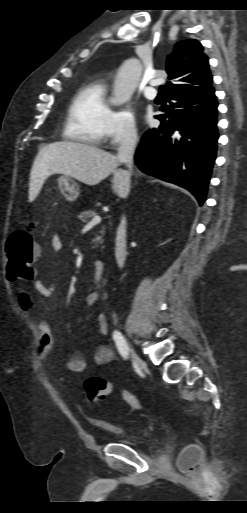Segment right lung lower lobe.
Returning a JSON list of instances; mask_svg holds the SVG:
<instances>
[{"label": "right lung lower lobe", "instance_id": "98d812e1", "mask_svg": "<svg viewBox=\"0 0 247 513\" xmlns=\"http://www.w3.org/2000/svg\"><path fill=\"white\" fill-rule=\"evenodd\" d=\"M217 106L212 86L199 93L166 94L165 113L155 116L161 125L143 135L135 154L143 172L188 189L200 205L216 158Z\"/></svg>", "mask_w": 247, "mask_h": 513}]
</instances>
